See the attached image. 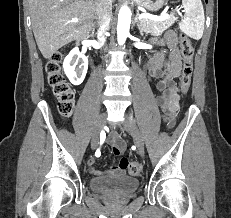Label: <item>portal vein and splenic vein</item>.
Masks as SVG:
<instances>
[{
	"instance_id": "18ae733b",
	"label": "portal vein and splenic vein",
	"mask_w": 231,
	"mask_h": 218,
	"mask_svg": "<svg viewBox=\"0 0 231 218\" xmlns=\"http://www.w3.org/2000/svg\"><path fill=\"white\" fill-rule=\"evenodd\" d=\"M170 17V15L168 13L166 14H162L159 16L156 15H149V14H141L139 15V19H143V18H149V19H153V20H166ZM71 22L73 23H77L78 22V18H72Z\"/></svg>"
}]
</instances>
